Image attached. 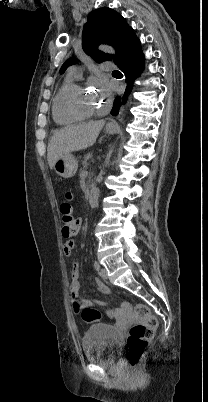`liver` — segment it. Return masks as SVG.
<instances>
[{"label":"liver","instance_id":"1","mask_svg":"<svg viewBox=\"0 0 208 402\" xmlns=\"http://www.w3.org/2000/svg\"><path fill=\"white\" fill-rule=\"evenodd\" d=\"M105 120L87 122V124H73L66 126L52 136L47 148V160L50 170H53L55 162L61 156H67L71 152L86 150L95 144Z\"/></svg>","mask_w":208,"mask_h":402}]
</instances>
